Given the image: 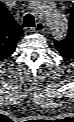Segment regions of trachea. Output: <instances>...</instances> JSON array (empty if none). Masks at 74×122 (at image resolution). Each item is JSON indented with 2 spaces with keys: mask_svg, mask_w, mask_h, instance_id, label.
<instances>
[{
  "mask_svg": "<svg viewBox=\"0 0 74 122\" xmlns=\"http://www.w3.org/2000/svg\"><path fill=\"white\" fill-rule=\"evenodd\" d=\"M23 24L26 27H35V19L34 16L31 14H26L23 19Z\"/></svg>",
  "mask_w": 74,
  "mask_h": 122,
  "instance_id": "1",
  "label": "trachea"
}]
</instances>
